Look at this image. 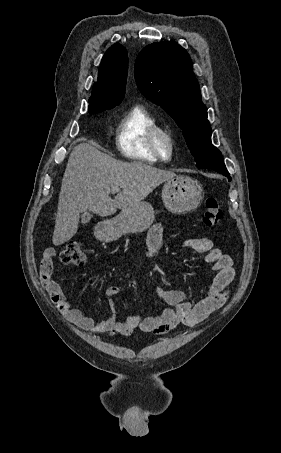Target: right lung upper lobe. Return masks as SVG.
I'll return each mask as SVG.
<instances>
[{"label":"right lung upper lobe","instance_id":"1","mask_svg":"<svg viewBox=\"0 0 281 453\" xmlns=\"http://www.w3.org/2000/svg\"><path fill=\"white\" fill-rule=\"evenodd\" d=\"M127 72V51L122 45L116 43L108 49L101 61L98 81L94 84L89 99L90 114L112 109L122 102Z\"/></svg>","mask_w":281,"mask_h":453}]
</instances>
